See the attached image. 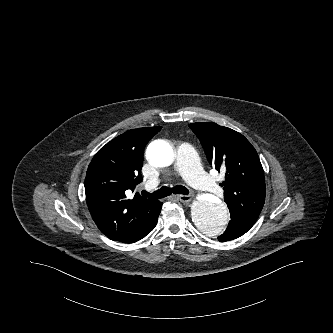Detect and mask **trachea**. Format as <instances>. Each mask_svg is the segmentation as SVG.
Returning <instances> with one entry per match:
<instances>
[{
    "label": "trachea",
    "mask_w": 333,
    "mask_h": 333,
    "mask_svg": "<svg viewBox=\"0 0 333 333\" xmlns=\"http://www.w3.org/2000/svg\"><path fill=\"white\" fill-rule=\"evenodd\" d=\"M143 196L145 197H151V198H155V199H160V198H164L166 196L171 195L172 193L174 194H183V195H188L189 194V190L181 185H177L173 188L167 187V186H163L161 187L159 190L153 192V193H148L146 191H142L141 192Z\"/></svg>",
    "instance_id": "3493384b"
}]
</instances>
